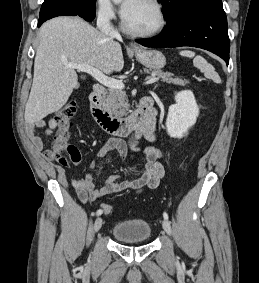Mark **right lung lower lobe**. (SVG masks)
<instances>
[{"label": "right lung lower lobe", "mask_w": 259, "mask_h": 283, "mask_svg": "<svg viewBox=\"0 0 259 283\" xmlns=\"http://www.w3.org/2000/svg\"><path fill=\"white\" fill-rule=\"evenodd\" d=\"M96 0H44L38 26L48 19L57 16H76L92 21L95 18Z\"/></svg>", "instance_id": "right-lung-lower-lobe-1"}]
</instances>
